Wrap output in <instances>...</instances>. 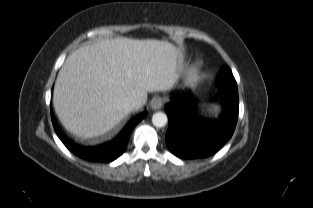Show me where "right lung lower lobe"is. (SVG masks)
Segmentation results:
<instances>
[{
    "label": "right lung lower lobe",
    "mask_w": 313,
    "mask_h": 208,
    "mask_svg": "<svg viewBox=\"0 0 313 208\" xmlns=\"http://www.w3.org/2000/svg\"><path fill=\"white\" fill-rule=\"evenodd\" d=\"M144 116L145 113H141L134 117L127 125V127L123 130L121 135L115 140L110 141L102 146L93 148L81 147L74 144L60 130L54 117H52V123L58 137L61 139L64 145L75 155L92 162H110L119 157L124 152L132 129L136 126V124H138V122H140V120Z\"/></svg>",
    "instance_id": "right-lung-lower-lobe-1"
}]
</instances>
